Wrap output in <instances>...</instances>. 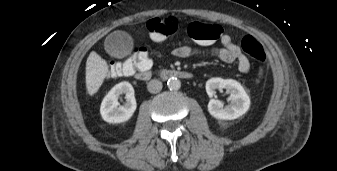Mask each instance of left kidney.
Masks as SVG:
<instances>
[{"label": "left kidney", "mask_w": 337, "mask_h": 171, "mask_svg": "<svg viewBox=\"0 0 337 171\" xmlns=\"http://www.w3.org/2000/svg\"><path fill=\"white\" fill-rule=\"evenodd\" d=\"M226 89L230 94V104L224 106L219 100L211 99L208 103L209 113L216 119L234 120L245 114L250 107V98L243 86L233 79L211 78L206 82V92L212 97L215 90Z\"/></svg>", "instance_id": "left-kidney-1"}]
</instances>
